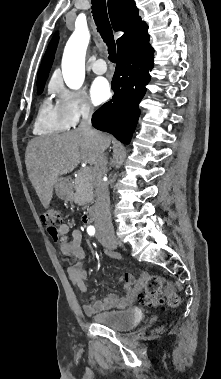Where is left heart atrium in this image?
<instances>
[{"mask_svg": "<svg viewBox=\"0 0 221 379\" xmlns=\"http://www.w3.org/2000/svg\"><path fill=\"white\" fill-rule=\"evenodd\" d=\"M111 90L109 83L104 78L96 79L91 87V97L96 104H101L110 96Z\"/></svg>", "mask_w": 221, "mask_h": 379, "instance_id": "39dd6f15", "label": "left heart atrium"}]
</instances>
